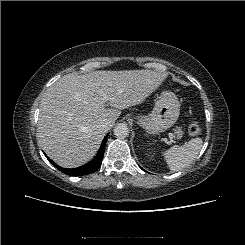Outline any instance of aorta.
Listing matches in <instances>:
<instances>
[{"mask_svg": "<svg viewBox=\"0 0 245 245\" xmlns=\"http://www.w3.org/2000/svg\"><path fill=\"white\" fill-rule=\"evenodd\" d=\"M114 135L119 139H124L129 135V128L125 123H119L114 128Z\"/></svg>", "mask_w": 245, "mask_h": 245, "instance_id": "aorta-1", "label": "aorta"}]
</instances>
